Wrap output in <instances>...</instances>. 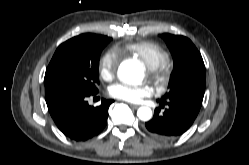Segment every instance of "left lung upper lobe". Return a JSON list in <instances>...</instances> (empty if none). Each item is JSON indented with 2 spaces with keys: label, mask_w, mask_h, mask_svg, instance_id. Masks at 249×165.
<instances>
[{
  "label": "left lung upper lobe",
  "mask_w": 249,
  "mask_h": 165,
  "mask_svg": "<svg viewBox=\"0 0 249 165\" xmlns=\"http://www.w3.org/2000/svg\"><path fill=\"white\" fill-rule=\"evenodd\" d=\"M162 37L174 57V70L169 81L170 91L162 98L184 94L203 98L206 84L205 65L197 48L184 36L164 33Z\"/></svg>",
  "instance_id": "5c2ea615"
}]
</instances>
